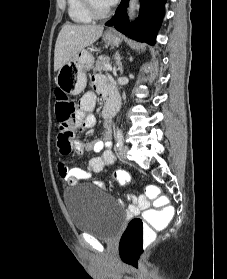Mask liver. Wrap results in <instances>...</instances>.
Listing matches in <instances>:
<instances>
[{
	"label": "liver",
	"instance_id": "liver-1",
	"mask_svg": "<svg viewBox=\"0 0 227 279\" xmlns=\"http://www.w3.org/2000/svg\"><path fill=\"white\" fill-rule=\"evenodd\" d=\"M101 25L65 24L60 30L54 50V71L73 59L77 53L97 41L103 32Z\"/></svg>",
	"mask_w": 227,
	"mask_h": 279
}]
</instances>
